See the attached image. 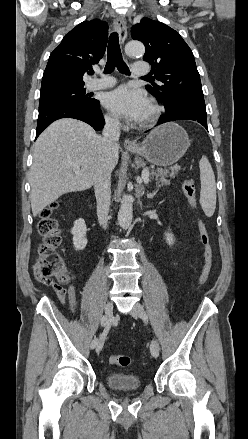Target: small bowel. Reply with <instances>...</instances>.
<instances>
[{"label":"small bowel","instance_id":"1","mask_svg":"<svg viewBox=\"0 0 248 439\" xmlns=\"http://www.w3.org/2000/svg\"><path fill=\"white\" fill-rule=\"evenodd\" d=\"M33 272L35 275V278L37 281H39L42 284H48L47 281L41 276L39 267L37 264L33 266ZM68 287L67 289L63 288L62 286H54V290L56 292V295L59 299V301L63 304L68 306L69 310L72 313H76L77 311V300H76V285H75V276L72 272L69 273L68 276Z\"/></svg>","mask_w":248,"mask_h":439}]
</instances>
